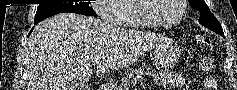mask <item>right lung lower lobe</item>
<instances>
[{
	"label": "right lung lower lobe",
	"mask_w": 237,
	"mask_h": 90,
	"mask_svg": "<svg viewBox=\"0 0 237 90\" xmlns=\"http://www.w3.org/2000/svg\"><path fill=\"white\" fill-rule=\"evenodd\" d=\"M37 23H39V22H34V25H36ZM33 28H34V27H33ZM33 28H32V30L30 31L29 35H30L31 32L33 31Z\"/></svg>",
	"instance_id": "98d812e1"
}]
</instances>
